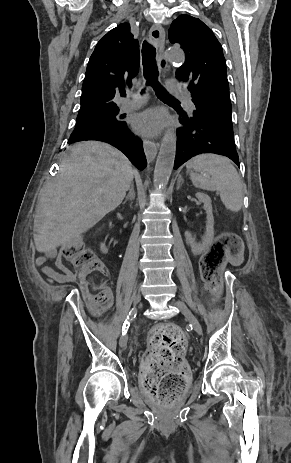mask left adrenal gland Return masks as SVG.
Here are the masks:
<instances>
[{
    "instance_id": "left-adrenal-gland-1",
    "label": "left adrenal gland",
    "mask_w": 291,
    "mask_h": 463,
    "mask_svg": "<svg viewBox=\"0 0 291 463\" xmlns=\"http://www.w3.org/2000/svg\"><path fill=\"white\" fill-rule=\"evenodd\" d=\"M181 183H183V179H182V177H181V175H180L179 178H178V181H177V190L180 189Z\"/></svg>"
}]
</instances>
